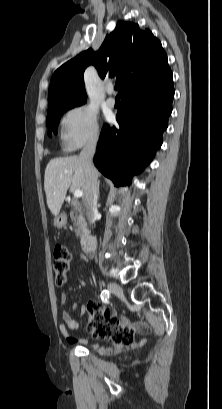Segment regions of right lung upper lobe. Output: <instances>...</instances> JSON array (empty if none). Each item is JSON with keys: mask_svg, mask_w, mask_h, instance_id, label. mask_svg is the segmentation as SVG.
<instances>
[{"mask_svg": "<svg viewBox=\"0 0 222 409\" xmlns=\"http://www.w3.org/2000/svg\"><path fill=\"white\" fill-rule=\"evenodd\" d=\"M91 64L101 78L107 73L117 77L121 97L137 87L139 81L170 70L160 41L149 29L141 30L137 23L119 21L97 52L83 51L55 71L49 86L48 111L85 102L83 75Z\"/></svg>", "mask_w": 222, "mask_h": 409, "instance_id": "right-lung-upper-lobe-1", "label": "right lung upper lobe"}]
</instances>
